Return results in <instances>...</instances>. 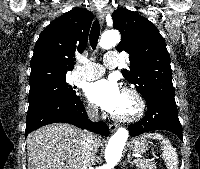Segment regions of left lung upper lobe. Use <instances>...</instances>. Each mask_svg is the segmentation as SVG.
Here are the masks:
<instances>
[{"mask_svg":"<svg viewBox=\"0 0 200 169\" xmlns=\"http://www.w3.org/2000/svg\"><path fill=\"white\" fill-rule=\"evenodd\" d=\"M113 27L121 33L118 52L130 57L124 78L136 86L144 99L152 95L174 97L170 56L158 29L145 17L127 9L112 14Z\"/></svg>","mask_w":200,"mask_h":169,"instance_id":"left-lung-upper-lobe-1","label":"left lung upper lobe"}]
</instances>
